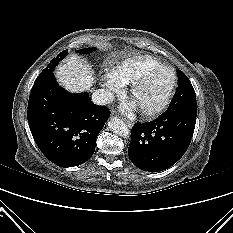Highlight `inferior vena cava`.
Wrapping results in <instances>:
<instances>
[{
  "label": "inferior vena cava",
  "instance_id": "obj_1",
  "mask_svg": "<svg viewBox=\"0 0 233 233\" xmlns=\"http://www.w3.org/2000/svg\"><path fill=\"white\" fill-rule=\"evenodd\" d=\"M114 95L105 89H98L92 94V101L98 105H106L112 102Z\"/></svg>",
  "mask_w": 233,
  "mask_h": 233
}]
</instances>
